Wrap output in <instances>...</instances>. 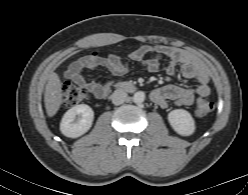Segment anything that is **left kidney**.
<instances>
[{"instance_id": "obj_1", "label": "left kidney", "mask_w": 248, "mask_h": 195, "mask_svg": "<svg viewBox=\"0 0 248 195\" xmlns=\"http://www.w3.org/2000/svg\"><path fill=\"white\" fill-rule=\"evenodd\" d=\"M171 127L182 136H190L195 132V121L191 114L184 109H175L168 114Z\"/></svg>"}]
</instances>
